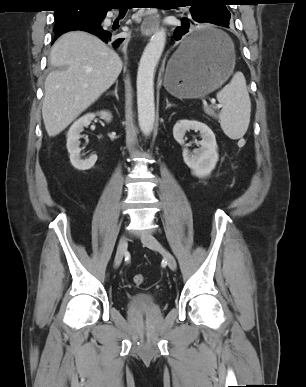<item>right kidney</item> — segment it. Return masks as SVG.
<instances>
[{"instance_id":"1","label":"right kidney","mask_w":306,"mask_h":387,"mask_svg":"<svg viewBox=\"0 0 306 387\" xmlns=\"http://www.w3.org/2000/svg\"><path fill=\"white\" fill-rule=\"evenodd\" d=\"M96 115H99L102 119L107 122H110L112 119V115L110 112L101 111L97 114L88 113L83 117L79 118L77 121L73 123L67 133V150L70 154V162L72 166L78 170L84 171L92 168L97 161V155H91L87 159H81L80 156V141L81 138L80 133L84 130V127L90 125L91 121L95 118Z\"/></svg>"}]
</instances>
